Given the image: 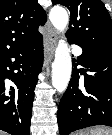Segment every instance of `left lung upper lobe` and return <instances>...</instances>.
I'll use <instances>...</instances> for the list:
<instances>
[{
    "instance_id": "left-lung-upper-lobe-1",
    "label": "left lung upper lobe",
    "mask_w": 112,
    "mask_h": 135,
    "mask_svg": "<svg viewBox=\"0 0 112 135\" xmlns=\"http://www.w3.org/2000/svg\"><path fill=\"white\" fill-rule=\"evenodd\" d=\"M70 11L67 38L82 48L112 53V20L101 0H52Z\"/></svg>"
}]
</instances>
